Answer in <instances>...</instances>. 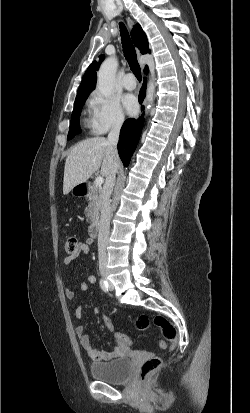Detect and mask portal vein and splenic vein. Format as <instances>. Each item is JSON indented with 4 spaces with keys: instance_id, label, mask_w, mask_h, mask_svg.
Returning a JSON list of instances; mask_svg holds the SVG:
<instances>
[{
    "instance_id": "18ae733b",
    "label": "portal vein and splenic vein",
    "mask_w": 250,
    "mask_h": 413,
    "mask_svg": "<svg viewBox=\"0 0 250 413\" xmlns=\"http://www.w3.org/2000/svg\"><path fill=\"white\" fill-rule=\"evenodd\" d=\"M103 182H104V179H103V177H101V176H98V177L95 179V185H96V186H101V185L103 184Z\"/></svg>"
}]
</instances>
